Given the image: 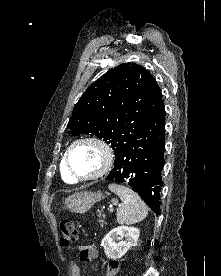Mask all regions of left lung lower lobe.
<instances>
[{
    "label": "left lung lower lobe",
    "instance_id": "left-lung-lower-lobe-1",
    "mask_svg": "<svg viewBox=\"0 0 221 276\" xmlns=\"http://www.w3.org/2000/svg\"><path fill=\"white\" fill-rule=\"evenodd\" d=\"M165 110L146 122L139 132L115 154L114 169L107 180L127 184L159 214L163 186Z\"/></svg>",
    "mask_w": 221,
    "mask_h": 276
}]
</instances>
